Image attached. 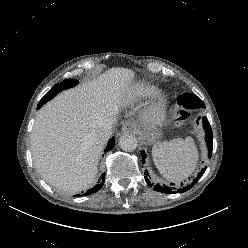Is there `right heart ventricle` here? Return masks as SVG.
Masks as SVG:
<instances>
[{
  "label": "right heart ventricle",
  "mask_w": 248,
  "mask_h": 248,
  "mask_svg": "<svg viewBox=\"0 0 248 248\" xmlns=\"http://www.w3.org/2000/svg\"><path fill=\"white\" fill-rule=\"evenodd\" d=\"M158 91V87L149 82H139L131 89L129 98L132 102L138 103L152 97Z\"/></svg>",
  "instance_id": "1"
}]
</instances>
